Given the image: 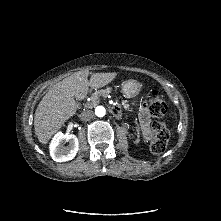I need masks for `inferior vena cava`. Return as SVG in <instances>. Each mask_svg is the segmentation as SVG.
<instances>
[{"label":"inferior vena cava","mask_w":221,"mask_h":221,"mask_svg":"<svg viewBox=\"0 0 221 221\" xmlns=\"http://www.w3.org/2000/svg\"><path fill=\"white\" fill-rule=\"evenodd\" d=\"M93 116H94L93 111L86 110L79 115V118L81 121H89L91 118H93Z\"/></svg>","instance_id":"obj_1"}]
</instances>
